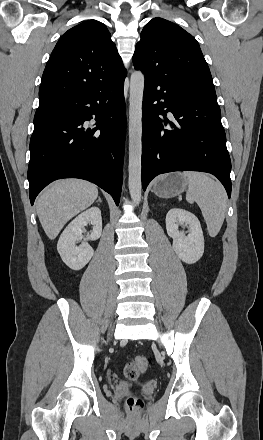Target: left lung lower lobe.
<instances>
[{
	"label": "left lung lower lobe",
	"instance_id": "0a47b994",
	"mask_svg": "<svg viewBox=\"0 0 263 440\" xmlns=\"http://www.w3.org/2000/svg\"><path fill=\"white\" fill-rule=\"evenodd\" d=\"M142 109L143 190L162 173L202 171L216 176L230 198L231 161L217 97L145 76ZM167 112L174 122L158 116Z\"/></svg>",
	"mask_w": 263,
	"mask_h": 440
}]
</instances>
